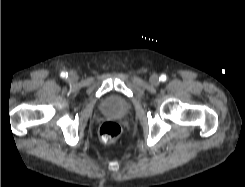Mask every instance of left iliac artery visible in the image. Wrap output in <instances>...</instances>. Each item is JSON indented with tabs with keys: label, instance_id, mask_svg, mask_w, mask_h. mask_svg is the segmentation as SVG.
Instances as JSON below:
<instances>
[{
	"label": "left iliac artery",
	"instance_id": "1",
	"mask_svg": "<svg viewBox=\"0 0 245 187\" xmlns=\"http://www.w3.org/2000/svg\"><path fill=\"white\" fill-rule=\"evenodd\" d=\"M166 79H167L166 75L162 74V75L160 76V80H161L162 82L166 81Z\"/></svg>",
	"mask_w": 245,
	"mask_h": 187
}]
</instances>
